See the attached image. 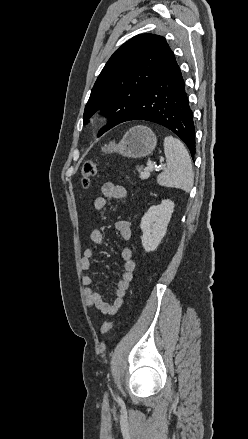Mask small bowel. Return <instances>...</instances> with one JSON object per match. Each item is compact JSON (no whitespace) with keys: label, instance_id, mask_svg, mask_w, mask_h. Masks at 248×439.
<instances>
[{"label":"small bowel","instance_id":"small-bowel-1","mask_svg":"<svg viewBox=\"0 0 248 439\" xmlns=\"http://www.w3.org/2000/svg\"><path fill=\"white\" fill-rule=\"evenodd\" d=\"M127 196V190L124 186L115 185L111 182H106L101 186V195L94 199L93 205L97 211L105 209L108 201L116 199L122 200ZM115 228L118 231L121 239L127 241L131 238L132 230L131 223L128 220H118L115 223ZM90 240L93 244H101L104 240L103 232L95 228L90 233ZM94 255V250L88 247L84 250L83 256L80 260V266L83 271H88L91 267V259ZM121 258L123 260V272L121 279L115 288V297L111 303L105 302L101 295L92 287V276L85 274L82 277V284L84 285V296L87 306L95 308L103 315H115L123 304L124 297L130 286L135 270V261L132 258V251L130 248H123L121 250Z\"/></svg>","mask_w":248,"mask_h":439}]
</instances>
